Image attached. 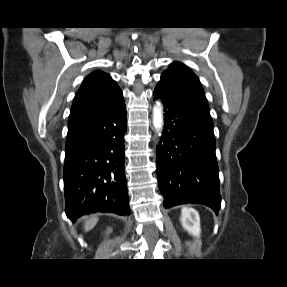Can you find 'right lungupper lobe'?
Returning <instances> with one entry per match:
<instances>
[{
    "label": "right lung upper lobe",
    "mask_w": 287,
    "mask_h": 287,
    "mask_svg": "<svg viewBox=\"0 0 287 287\" xmlns=\"http://www.w3.org/2000/svg\"><path fill=\"white\" fill-rule=\"evenodd\" d=\"M122 100V91L111 76L95 71L84 79L79 88L68 121L106 112Z\"/></svg>",
    "instance_id": "right-lung-upper-lobe-1"
}]
</instances>
